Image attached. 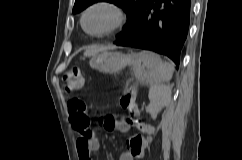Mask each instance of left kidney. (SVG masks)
<instances>
[{
	"instance_id": "5707ae66",
	"label": "left kidney",
	"mask_w": 242,
	"mask_h": 160,
	"mask_svg": "<svg viewBox=\"0 0 242 160\" xmlns=\"http://www.w3.org/2000/svg\"><path fill=\"white\" fill-rule=\"evenodd\" d=\"M167 104V103H166ZM164 107V106H163ZM158 113V112H157ZM157 113H151L153 118L157 117Z\"/></svg>"
}]
</instances>
